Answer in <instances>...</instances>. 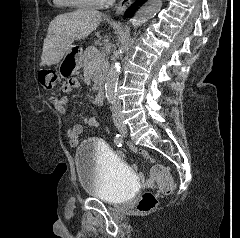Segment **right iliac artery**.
<instances>
[{"label": "right iliac artery", "instance_id": "1", "mask_svg": "<svg viewBox=\"0 0 240 238\" xmlns=\"http://www.w3.org/2000/svg\"><path fill=\"white\" fill-rule=\"evenodd\" d=\"M114 143H115L118 147L122 146L123 136L120 135V134H117V135L115 136V138H114Z\"/></svg>", "mask_w": 240, "mask_h": 238}]
</instances>
